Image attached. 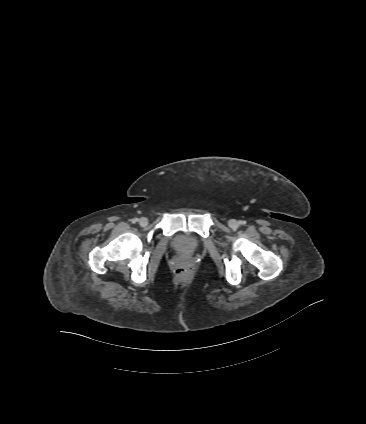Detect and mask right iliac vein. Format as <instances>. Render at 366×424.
I'll return each instance as SVG.
<instances>
[{"mask_svg": "<svg viewBox=\"0 0 366 424\" xmlns=\"http://www.w3.org/2000/svg\"><path fill=\"white\" fill-rule=\"evenodd\" d=\"M139 224H140V226H142V227L147 226V225H148V219H147V218H145V217L140 218V219H139Z\"/></svg>", "mask_w": 366, "mask_h": 424, "instance_id": "obj_1", "label": "right iliac vein"}]
</instances>
